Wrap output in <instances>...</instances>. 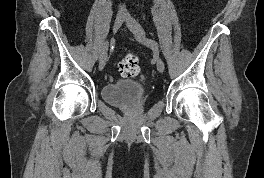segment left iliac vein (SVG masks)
Segmentation results:
<instances>
[{
  "instance_id": "4c4485c4",
  "label": "left iliac vein",
  "mask_w": 264,
  "mask_h": 178,
  "mask_svg": "<svg viewBox=\"0 0 264 178\" xmlns=\"http://www.w3.org/2000/svg\"><path fill=\"white\" fill-rule=\"evenodd\" d=\"M126 25L137 39L142 40L145 37L144 30L133 17L131 16L126 17ZM156 66H157V70L160 73H162L165 69L164 62L160 58L156 59Z\"/></svg>"
}]
</instances>
